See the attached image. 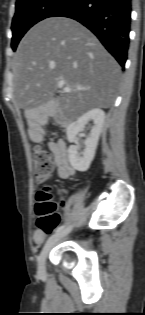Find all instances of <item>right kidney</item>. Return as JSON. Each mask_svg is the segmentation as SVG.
<instances>
[{
    "label": "right kidney",
    "mask_w": 145,
    "mask_h": 315,
    "mask_svg": "<svg viewBox=\"0 0 145 315\" xmlns=\"http://www.w3.org/2000/svg\"><path fill=\"white\" fill-rule=\"evenodd\" d=\"M93 122V127L89 137L85 141V149L79 152L76 135L89 122ZM105 121V113L99 108H94L83 114L75 122L71 123L66 130L67 140L71 145L68 149V158L71 166L80 172H85L89 169L96 153L99 137Z\"/></svg>",
    "instance_id": "obj_1"
}]
</instances>
